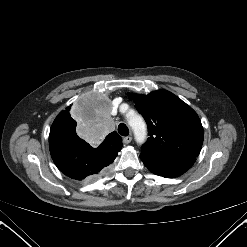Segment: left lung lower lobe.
<instances>
[{"mask_svg": "<svg viewBox=\"0 0 247 247\" xmlns=\"http://www.w3.org/2000/svg\"><path fill=\"white\" fill-rule=\"evenodd\" d=\"M145 166L153 173L166 178H173L185 173L195 162L196 158H164L154 157L145 153L140 154Z\"/></svg>", "mask_w": 247, "mask_h": 247, "instance_id": "0a47b994", "label": "left lung lower lobe"}]
</instances>
